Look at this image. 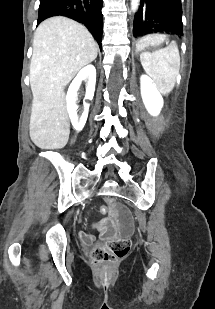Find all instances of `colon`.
<instances>
[{"mask_svg":"<svg viewBox=\"0 0 215 309\" xmlns=\"http://www.w3.org/2000/svg\"><path fill=\"white\" fill-rule=\"evenodd\" d=\"M128 248V241L124 239H114L97 243L93 248L92 254L98 260L107 261L124 254Z\"/></svg>","mask_w":215,"mask_h":309,"instance_id":"colon-1","label":"colon"}]
</instances>
